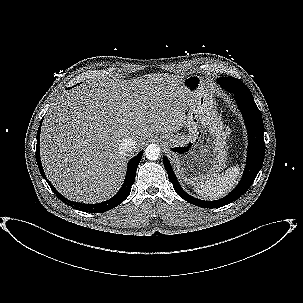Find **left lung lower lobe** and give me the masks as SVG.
I'll return each instance as SVG.
<instances>
[{
    "label": "left lung lower lobe",
    "instance_id": "left-lung-lower-lobe-1",
    "mask_svg": "<svg viewBox=\"0 0 303 303\" xmlns=\"http://www.w3.org/2000/svg\"><path fill=\"white\" fill-rule=\"evenodd\" d=\"M220 85L226 91L234 94V98L243 115L248 131L249 141L247 163L242 179L237 187L230 194L216 201H203L196 199L184 192L174 174L169 160L166 156L163 157V164L176 193L187 202L204 208L222 207L237 200L241 195H243L254 182L262 167L265 155V143L263 138L264 125L262 115L254 102L252 94L245 93V91L241 88L240 83L233 79L224 80Z\"/></svg>",
    "mask_w": 303,
    "mask_h": 303
}]
</instances>
